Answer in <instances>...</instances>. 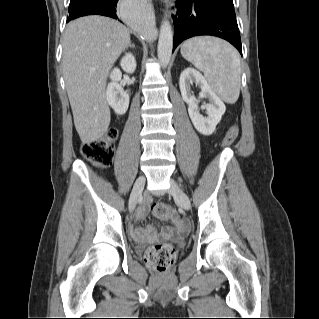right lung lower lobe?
I'll return each instance as SVG.
<instances>
[{
  "label": "right lung lower lobe",
  "instance_id": "1",
  "mask_svg": "<svg viewBox=\"0 0 319 319\" xmlns=\"http://www.w3.org/2000/svg\"><path fill=\"white\" fill-rule=\"evenodd\" d=\"M117 2L118 0H87L81 7L69 14L67 22L86 15H102L118 19Z\"/></svg>",
  "mask_w": 319,
  "mask_h": 319
}]
</instances>
